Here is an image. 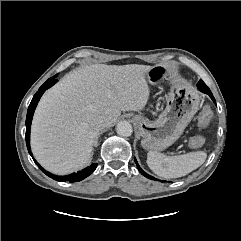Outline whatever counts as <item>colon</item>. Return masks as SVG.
<instances>
[{
  "instance_id": "5ec220e1",
  "label": "colon",
  "mask_w": 241,
  "mask_h": 241,
  "mask_svg": "<svg viewBox=\"0 0 241 241\" xmlns=\"http://www.w3.org/2000/svg\"><path fill=\"white\" fill-rule=\"evenodd\" d=\"M213 117L212 110L209 107H204L198 115V126L201 129L206 128ZM204 144L202 136H195L190 140V146L193 148L201 147Z\"/></svg>"
}]
</instances>
